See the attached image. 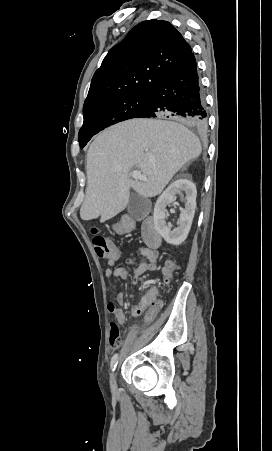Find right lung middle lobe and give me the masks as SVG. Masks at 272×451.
<instances>
[{
	"label": "right lung middle lobe",
	"mask_w": 272,
	"mask_h": 451,
	"mask_svg": "<svg viewBox=\"0 0 272 451\" xmlns=\"http://www.w3.org/2000/svg\"><path fill=\"white\" fill-rule=\"evenodd\" d=\"M148 101L149 94L123 96L104 101L83 111L84 123L78 134L80 147L83 148L103 129L139 116L147 108Z\"/></svg>",
	"instance_id": "dd1d6c3e"
}]
</instances>
